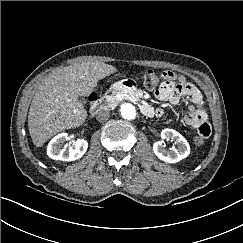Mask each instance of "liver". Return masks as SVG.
<instances>
[{
  "label": "liver",
  "mask_w": 243,
  "mask_h": 243,
  "mask_svg": "<svg viewBox=\"0 0 243 243\" xmlns=\"http://www.w3.org/2000/svg\"><path fill=\"white\" fill-rule=\"evenodd\" d=\"M116 72L100 61L74 63L49 74L38 85L28 114V128L36 147L58 132L82 125L87 117L79 96H89L98 82Z\"/></svg>",
  "instance_id": "6515ba94"
}]
</instances>
